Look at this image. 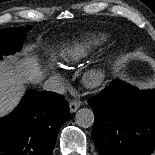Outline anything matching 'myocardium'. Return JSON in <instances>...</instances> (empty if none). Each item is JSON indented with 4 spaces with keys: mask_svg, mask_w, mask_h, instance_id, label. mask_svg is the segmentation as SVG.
<instances>
[{
    "mask_svg": "<svg viewBox=\"0 0 155 155\" xmlns=\"http://www.w3.org/2000/svg\"><path fill=\"white\" fill-rule=\"evenodd\" d=\"M107 66L108 62L105 61L89 69L83 77L85 85L88 87H96L100 85L106 77Z\"/></svg>",
    "mask_w": 155,
    "mask_h": 155,
    "instance_id": "obj_1",
    "label": "myocardium"
}]
</instances>
